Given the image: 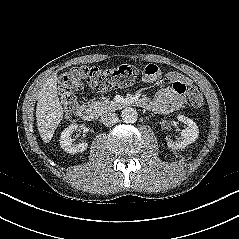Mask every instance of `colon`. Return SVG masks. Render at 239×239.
I'll return each mask as SVG.
<instances>
[{
    "mask_svg": "<svg viewBox=\"0 0 239 239\" xmlns=\"http://www.w3.org/2000/svg\"><path fill=\"white\" fill-rule=\"evenodd\" d=\"M139 75V68L133 65H120L109 69L88 66L71 68L59 78L58 90L66 117L72 121L76 119L79 105L76 93L84 86L98 91L128 87L135 83ZM187 97L193 108L202 107L204 98L199 88L189 87Z\"/></svg>",
    "mask_w": 239,
    "mask_h": 239,
    "instance_id": "colon-1",
    "label": "colon"
}]
</instances>
